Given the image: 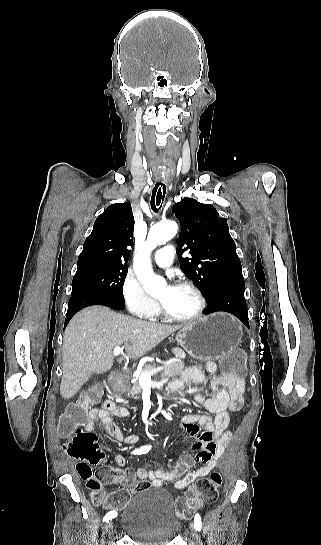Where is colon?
Wrapping results in <instances>:
<instances>
[{"label": "colon", "mask_w": 321, "mask_h": 545, "mask_svg": "<svg viewBox=\"0 0 321 545\" xmlns=\"http://www.w3.org/2000/svg\"><path fill=\"white\" fill-rule=\"evenodd\" d=\"M222 372L234 378H243L246 373L243 356L238 351L230 352L221 359ZM100 399V389L91 388L85 391L78 402L68 406L66 412L60 417L58 431L64 439L63 449L71 457L80 460H97L101 458L97 436L84 429L91 406ZM82 478L87 482L90 498L95 504H102L108 509L120 510L124 508L130 498L131 492H138L150 487L145 480H135L131 475L126 484L131 489H123L111 494H106L103 489V478L100 472L95 475L83 474ZM222 484V476L218 472L211 473L208 477H201L196 484L176 499L175 507L180 519H188L192 516L196 507L216 501Z\"/></svg>", "instance_id": "colon-1"}]
</instances>
